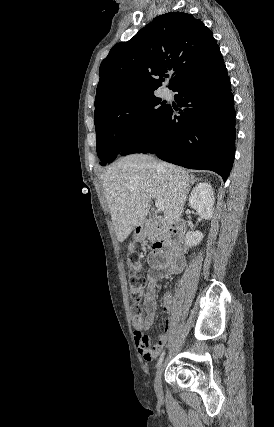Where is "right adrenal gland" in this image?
<instances>
[{
	"label": "right adrenal gland",
	"mask_w": 274,
	"mask_h": 427,
	"mask_svg": "<svg viewBox=\"0 0 274 427\" xmlns=\"http://www.w3.org/2000/svg\"><path fill=\"white\" fill-rule=\"evenodd\" d=\"M195 182H200V180H195Z\"/></svg>",
	"instance_id": "right-adrenal-gland-1"
}]
</instances>
